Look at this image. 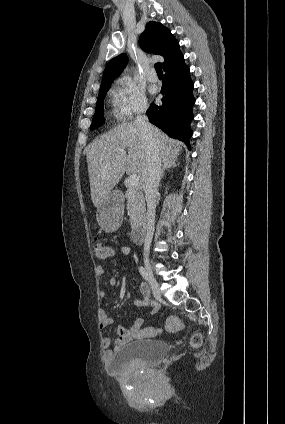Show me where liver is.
Masks as SVG:
<instances>
[{
	"mask_svg": "<svg viewBox=\"0 0 285 424\" xmlns=\"http://www.w3.org/2000/svg\"><path fill=\"white\" fill-rule=\"evenodd\" d=\"M151 127L163 161L177 157L183 143L172 141L161 130ZM85 153L95 207L111 193L125 172L136 174L143 186L147 159L141 130L134 122L123 123L101 135L86 148Z\"/></svg>",
	"mask_w": 285,
	"mask_h": 424,
	"instance_id": "6515ba94",
	"label": "liver"
}]
</instances>
